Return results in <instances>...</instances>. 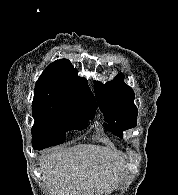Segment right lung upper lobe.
I'll list each match as a JSON object with an SVG mask.
<instances>
[{
	"instance_id": "cb5924a9",
	"label": "right lung upper lobe",
	"mask_w": 178,
	"mask_h": 195,
	"mask_svg": "<svg viewBox=\"0 0 178 195\" xmlns=\"http://www.w3.org/2000/svg\"><path fill=\"white\" fill-rule=\"evenodd\" d=\"M33 102L97 106L87 80L76 75V70L67 59L47 66L36 82Z\"/></svg>"
}]
</instances>
